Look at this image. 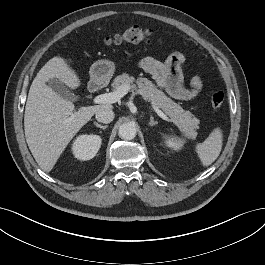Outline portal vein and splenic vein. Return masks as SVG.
<instances>
[{"label":"portal vein and splenic vein","instance_id":"18ae733b","mask_svg":"<svg viewBox=\"0 0 265 265\" xmlns=\"http://www.w3.org/2000/svg\"><path fill=\"white\" fill-rule=\"evenodd\" d=\"M128 90H129L128 86H121L115 92L104 93V94L96 96L93 99V102L95 104L115 103L119 101L124 95H126ZM151 104H152L154 111L163 120L169 121V118L153 102Z\"/></svg>","mask_w":265,"mask_h":265}]
</instances>
